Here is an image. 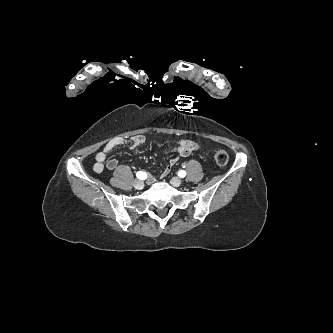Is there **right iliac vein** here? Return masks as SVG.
Returning a JSON list of instances; mask_svg holds the SVG:
<instances>
[{"instance_id": "obj_1", "label": "right iliac vein", "mask_w": 333, "mask_h": 333, "mask_svg": "<svg viewBox=\"0 0 333 333\" xmlns=\"http://www.w3.org/2000/svg\"><path fill=\"white\" fill-rule=\"evenodd\" d=\"M133 185L136 189H139V190L144 187V183L139 179H135L133 182Z\"/></svg>"}]
</instances>
